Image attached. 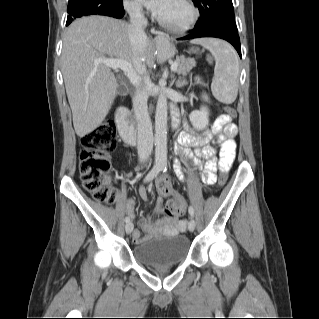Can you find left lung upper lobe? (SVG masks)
<instances>
[{"instance_id":"obj_1","label":"left lung upper lobe","mask_w":319,"mask_h":319,"mask_svg":"<svg viewBox=\"0 0 319 319\" xmlns=\"http://www.w3.org/2000/svg\"><path fill=\"white\" fill-rule=\"evenodd\" d=\"M199 8L201 18L194 29L220 25L237 29L232 0H192Z\"/></svg>"}]
</instances>
